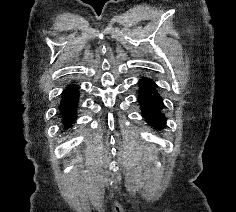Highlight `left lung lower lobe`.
<instances>
[{
	"instance_id": "1",
	"label": "left lung lower lobe",
	"mask_w": 236,
	"mask_h": 212,
	"mask_svg": "<svg viewBox=\"0 0 236 212\" xmlns=\"http://www.w3.org/2000/svg\"><path fill=\"white\" fill-rule=\"evenodd\" d=\"M138 85V102L141 106L143 117L154 128L162 129L165 127L166 117L162 113L164 104L158 92V86L151 78L147 77L141 78Z\"/></svg>"
}]
</instances>
